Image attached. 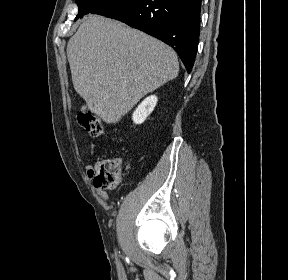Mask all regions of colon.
<instances>
[{
    "label": "colon",
    "mask_w": 288,
    "mask_h": 280,
    "mask_svg": "<svg viewBox=\"0 0 288 280\" xmlns=\"http://www.w3.org/2000/svg\"><path fill=\"white\" fill-rule=\"evenodd\" d=\"M79 124L93 137L103 133L100 119L88 108L82 107L77 116ZM123 161L118 157L99 159L94 168V185L97 188H115L121 179Z\"/></svg>",
    "instance_id": "colon-1"
}]
</instances>
